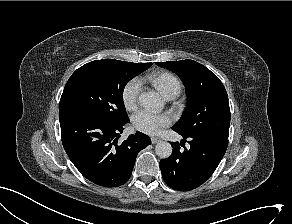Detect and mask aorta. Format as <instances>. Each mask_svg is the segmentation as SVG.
Here are the masks:
<instances>
[{
  "label": "aorta",
  "instance_id": "1",
  "mask_svg": "<svg viewBox=\"0 0 292 224\" xmlns=\"http://www.w3.org/2000/svg\"><path fill=\"white\" fill-rule=\"evenodd\" d=\"M139 102L145 108L161 109L163 107L161 96L154 91L143 92L139 96ZM155 152L160 158H168L172 154V146L166 141H161L156 144Z\"/></svg>",
  "mask_w": 292,
  "mask_h": 224
}]
</instances>
